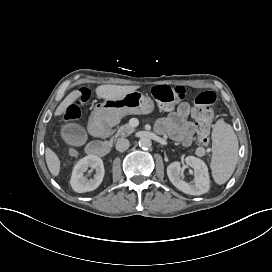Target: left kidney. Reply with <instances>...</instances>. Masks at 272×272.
<instances>
[{"instance_id": "left-kidney-1", "label": "left kidney", "mask_w": 272, "mask_h": 272, "mask_svg": "<svg viewBox=\"0 0 272 272\" xmlns=\"http://www.w3.org/2000/svg\"><path fill=\"white\" fill-rule=\"evenodd\" d=\"M186 164L194 169V185L181 180L180 162L175 161L167 167V175L171 183L180 191L190 195H202L210 189L208 168L204 161L194 156L185 158Z\"/></svg>"}]
</instances>
